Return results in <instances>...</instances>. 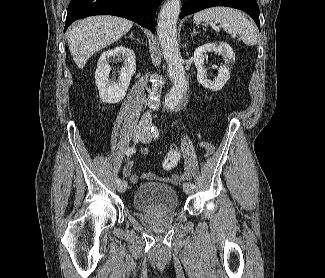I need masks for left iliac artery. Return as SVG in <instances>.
Listing matches in <instances>:
<instances>
[{
  "label": "left iliac artery",
  "instance_id": "1",
  "mask_svg": "<svg viewBox=\"0 0 325 278\" xmlns=\"http://www.w3.org/2000/svg\"><path fill=\"white\" fill-rule=\"evenodd\" d=\"M151 133L154 139H158L159 138V131L158 128L156 126H152L151 128ZM190 186L194 189L195 185L193 183H190Z\"/></svg>",
  "mask_w": 325,
  "mask_h": 278
}]
</instances>
